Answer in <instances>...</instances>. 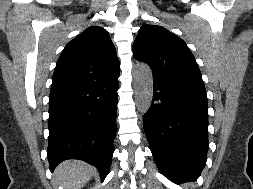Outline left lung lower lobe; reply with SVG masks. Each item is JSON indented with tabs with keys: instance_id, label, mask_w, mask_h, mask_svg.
Masks as SVG:
<instances>
[{
	"instance_id": "0a47b994",
	"label": "left lung lower lobe",
	"mask_w": 253,
	"mask_h": 189,
	"mask_svg": "<svg viewBox=\"0 0 253 189\" xmlns=\"http://www.w3.org/2000/svg\"><path fill=\"white\" fill-rule=\"evenodd\" d=\"M153 93L143 127L154 160L172 182L195 181L209 147L207 97L160 82Z\"/></svg>"
}]
</instances>
